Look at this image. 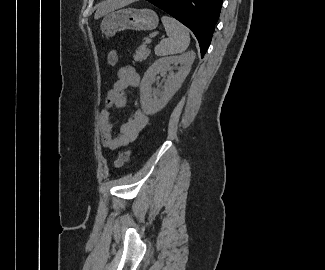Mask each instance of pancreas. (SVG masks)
Here are the masks:
<instances>
[{
    "instance_id": "1",
    "label": "pancreas",
    "mask_w": 325,
    "mask_h": 270,
    "mask_svg": "<svg viewBox=\"0 0 325 270\" xmlns=\"http://www.w3.org/2000/svg\"><path fill=\"white\" fill-rule=\"evenodd\" d=\"M150 54V50L146 47V45H141L134 54L135 61L145 60Z\"/></svg>"
}]
</instances>
